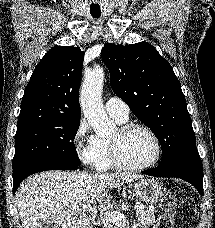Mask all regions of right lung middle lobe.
I'll use <instances>...</instances> for the list:
<instances>
[{"mask_svg":"<svg viewBox=\"0 0 215 228\" xmlns=\"http://www.w3.org/2000/svg\"><path fill=\"white\" fill-rule=\"evenodd\" d=\"M80 120H58L17 126L13 169L32 162L80 165L74 145Z\"/></svg>","mask_w":215,"mask_h":228,"instance_id":"obj_1","label":"right lung middle lobe"}]
</instances>
